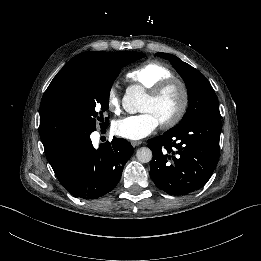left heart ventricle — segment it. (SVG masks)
I'll use <instances>...</instances> for the list:
<instances>
[{
  "mask_svg": "<svg viewBox=\"0 0 261 261\" xmlns=\"http://www.w3.org/2000/svg\"><path fill=\"white\" fill-rule=\"evenodd\" d=\"M181 98V92L179 88L176 87L167 91L158 100H151L146 97L142 103L140 111L152 112L161 123L176 113L180 106Z\"/></svg>",
  "mask_w": 261,
  "mask_h": 261,
  "instance_id": "b2bd125f",
  "label": "left heart ventricle"
}]
</instances>
